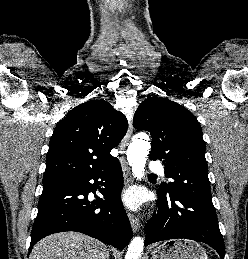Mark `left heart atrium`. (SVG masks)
<instances>
[{
    "label": "left heart atrium",
    "instance_id": "obj_1",
    "mask_svg": "<svg viewBox=\"0 0 248 259\" xmlns=\"http://www.w3.org/2000/svg\"><path fill=\"white\" fill-rule=\"evenodd\" d=\"M123 200L131 208H136L140 203L139 194L133 189L125 192Z\"/></svg>",
    "mask_w": 248,
    "mask_h": 259
}]
</instances>
